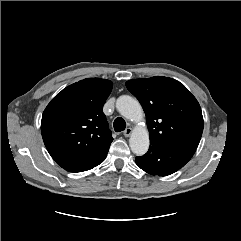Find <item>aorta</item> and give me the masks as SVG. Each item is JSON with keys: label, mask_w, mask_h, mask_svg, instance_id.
Segmentation results:
<instances>
[{"label": "aorta", "mask_w": 241, "mask_h": 241, "mask_svg": "<svg viewBox=\"0 0 241 241\" xmlns=\"http://www.w3.org/2000/svg\"><path fill=\"white\" fill-rule=\"evenodd\" d=\"M116 108L122 116L131 121L139 122L143 118L140 103L131 96H120L116 101ZM149 144L148 130L144 127L135 128L129 139L131 151L138 156H142L148 151Z\"/></svg>", "instance_id": "1"}]
</instances>
